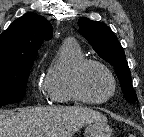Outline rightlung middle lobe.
Returning <instances> with one entry per match:
<instances>
[{
	"label": "right lung middle lobe",
	"mask_w": 144,
	"mask_h": 137,
	"mask_svg": "<svg viewBox=\"0 0 144 137\" xmlns=\"http://www.w3.org/2000/svg\"><path fill=\"white\" fill-rule=\"evenodd\" d=\"M34 60L0 64V107L22 101Z\"/></svg>",
	"instance_id": "right-lung-middle-lobe-1"
}]
</instances>
